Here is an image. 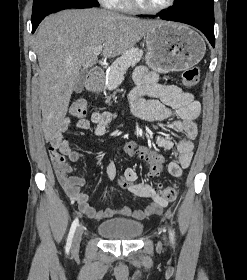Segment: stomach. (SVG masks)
I'll return each instance as SVG.
<instances>
[{
  "label": "stomach",
  "instance_id": "1",
  "mask_svg": "<svg viewBox=\"0 0 247 280\" xmlns=\"http://www.w3.org/2000/svg\"><path fill=\"white\" fill-rule=\"evenodd\" d=\"M146 64L161 73L183 71L203 58V38L187 25L163 22L146 34Z\"/></svg>",
  "mask_w": 247,
  "mask_h": 280
}]
</instances>
